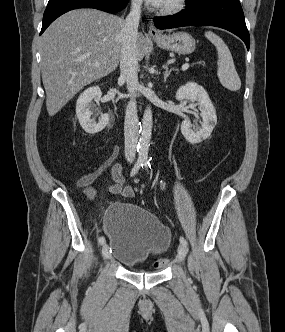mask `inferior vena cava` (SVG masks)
Instances as JSON below:
<instances>
[{"label":"inferior vena cava","instance_id":"obj_1","mask_svg":"<svg viewBox=\"0 0 285 332\" xmlns=\"http://www.w3.org/2000/svg\"><path fill=\"white\" fill-rule=\"evenodd\" d=\"M142 0H132L131 11L125 20L123 29V47L120 57V78L127 84L130 94L125 112L124 136L125 157L133 162L138 143V117L135 93L138 89V58L136 54L138 25L141 19Z\"/></svg>","mask_w":285,"mask_h":332}]
</instances>
